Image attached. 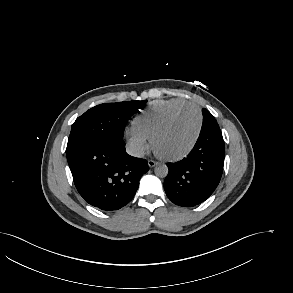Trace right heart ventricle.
Returning <instances> with one entry per match:
<instances>
[{"instance_id": "e07e8e85", "label": "right heart ventricle", "mask_w": 293, "mask_h": 293, "mask_svg": "<svg viewBox=\"0 0 293 293\" xmlns=\"http://www.w3.org/2000/svg\"><path fill=\"white\" fill-rule=\"evenodd\" d=\"M189 103L191 102L181 98L154 101L133 119L132 129L145 138L151 139L155 130L173 110Z\"/></svg>"}]
</instances>
